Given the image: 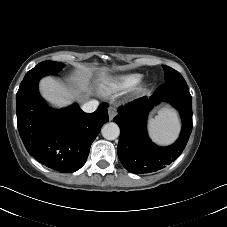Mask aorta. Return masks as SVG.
Masks as SVG:
<instances>
[{"label":"aorta","mask_w":227,"mask_h":227,"mask_svg":"<svg viewBox=\"0 0 227 227\" xmlns=\"http://www.w3.org/2000/svg\"><path fill=\"white\" fill-rule=\"evenodd\" d=\"M101 133L105 139L115 140L120 134V129L116 123L110 122L102 127Z\"/></svg>","instance_id":"762f6f07"}]
</instances>
